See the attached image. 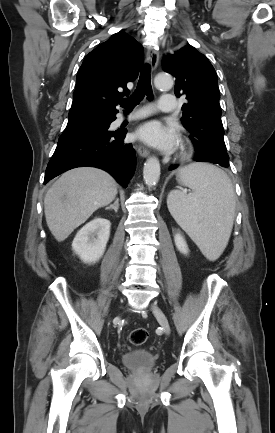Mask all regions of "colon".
I'll return each mask as SVG.
<instances>
[{"instance_id": "colon-1", "label": "colon", "mask_w": 275, "mask_h": 433, "mask_svg": "<svg viewBox=\"0 0 275 433\" xmlns=\"http://www.w3.org/2000/svg\"><path fill=\"white\" fill-rule=\"evenodd\" d=\"M149 338V333L145 328L134 329L130 334V342L134 346L143 345Z\"/></svg>"}]
</instances>
